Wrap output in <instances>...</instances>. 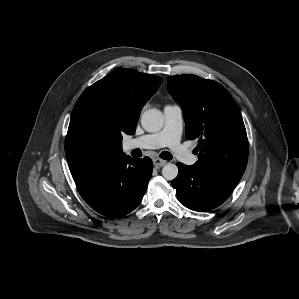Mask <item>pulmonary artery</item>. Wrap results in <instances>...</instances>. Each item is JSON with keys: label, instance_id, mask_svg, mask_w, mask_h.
<instances>
[{"label": "pulmonary artery", "instance_id": "obj_1", "mask_svg": "<svg viewBox=\"0 0 299 299\" xmlns=\"http://www.w3.org/2000/svg\"><path fill=\"white\" fill-rule=\"evenodd\" d=\"M163 112L165 122L162 130L128 141L125 144V149L169 147L179 161L187 165L194 164L197 160L196 156L180 143L183 125L181 107L178 105H167L164 107Z\"/></svg>", "mask_w": 299, "mask_h": 299}]
</instances>
